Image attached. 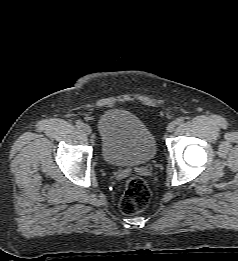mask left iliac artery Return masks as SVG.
<instances>
[{
  "label": "left iliac artery",
  "instance_id": "1",
  "mask_svg": "<svg viewBox=\"0 0 238 261\" xmlns=\"http://www.w3.org/2000/svg\"><path fill=\"white\" fill-rule=\"evenodd\" d=\"M184 122V118L179 117L176 119V124H182Z\"/></svg>",
  "mask_w": 238,
  "mask_h": 261
}]
</instances>
